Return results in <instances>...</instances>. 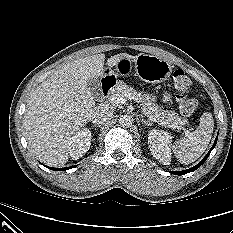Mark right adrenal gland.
I'll return each instance as SVG.
<instances>
[{
    "label": "right adrenal gland",
    "instance_id": "2a0ac1e0",
    "mask_svg": "<svg viewBox=\"0 0 233 233\" xmlns=\"http://www.w3.org/2000/svg\"><path fill=\"white\" fill-rule=\"evenodd\" d=\"M94 127H98V128H99V127H101V126H100V125H94Z\"/></svg>",
    "mask_w": 233,
    "mask_h": 233
}]
</instances>
